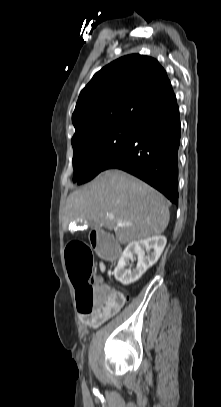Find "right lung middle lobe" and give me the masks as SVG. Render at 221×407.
<instances>
[{
  "label": "right lung middle lobe",
  "mask_w": 221,
  "mask_h": 407,
  "mask_svg": "<svg viewBox=\"0 0 221 407\" xmlns=\"http://www.w3.org/2000/svg\"><path fill=\"white\" fill-rule=\"evenodd\" d=\"M136 124H118L91 132L73 142V182L93 179L118 153L132 135Z\"/></svg>",
  "instance_id": "obj_1"
}]
</instances>
